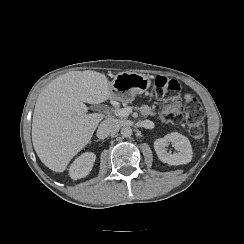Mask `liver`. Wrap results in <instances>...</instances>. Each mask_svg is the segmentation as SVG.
Returning <instances> with one entry per match:
<instances>
[{
    "instance_id": "liver-1",
    "label": "liver",
    "mask_w": 244,
    "mask_h": 244,
    "mask_svg": "<svg viewBox=\"0 0 244 244\" xmlns=\"http://www.w3.org/2000/svg\"><path fill=\"white\" fill-rule=\"evenodd\" d=\"M109 98L106 76L91 70L65 73L42 90L33 113L32 142L45 166L55 172L66 169L103 119L102 114H87L85 103Z\"/></svg>"
}]
</instances>
